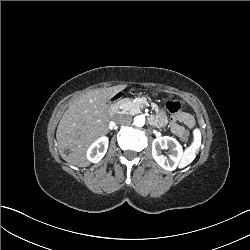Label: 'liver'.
<instances>
[{"label":"liver","instance_id":"liver-1","mask_svg":"<svg viewBox=\"0 0 250 250\" xmlns=\"http://www.w3.org/2000/svg\"><path fill=\"white\" fill-rule=\"evenodd\" d=\"M125 86L82 93L62 116L56 133L61 157L76 166L89 165L85 148L97 136L108 132L107 101Z\"/></svg>","mask_w":250,"mask_h":250}]
</instances>
